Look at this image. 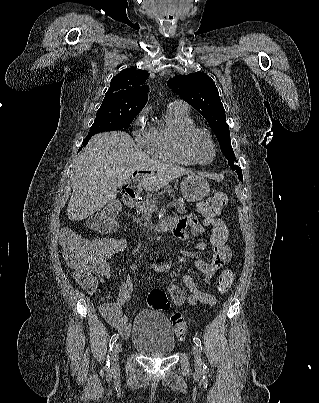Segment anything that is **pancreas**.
Returning <instances> with one entry per match:
<instances>
[{
	"label": "pancreas",
	"instance_id": "1",
	"mask_svg": "<svg viewBox=\"0 0 319 403\" xmlns=\"http://www.w3.org/2000/svg\"><path fill=\"white\" fill-rule=\"evenodd\" d=\"M156 201H157V198L154 197V198H152V199H150V200L144 201V202L142 203V205L139 206V208H138V210H137V213H138V214H141L142 217H144V220H145V221L148 220V219H147V214L152 213V212L155 211V210L153 209L152 205H153V204L155 205ZM175 203H176V210H177L179 213H185V212H186V210H185V203H183V202H177V201H175ZM134 221L137 222V223H140V219H139V218H135ZM147 226H148V222H145V223L143 224V227H144V228H147Z\"/></svg>",
	"mask_w": 319,
	"mask_h": 403
}]
</instances>
